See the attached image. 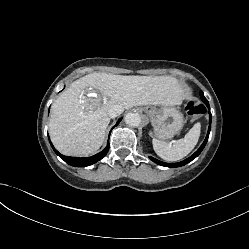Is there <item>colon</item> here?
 Listing matches in <instances>:
<instances>
[{
    "instance_id": "1",
    "label": "colon",
    "mask_w": 249,
    "mask_h": 249,
    "mask_svg": "<svg viewBox=\"0 0 249 249\" xmlns=\"http://www.w3.org/2000/svg\"><path fill=\"white\" fill-rule=\"evenodd\" d=\"M184 110L192 120H196L204 114L205 107L194 100H190L186 103Z\"/></svg>"
}]
</instances>
